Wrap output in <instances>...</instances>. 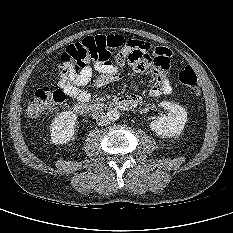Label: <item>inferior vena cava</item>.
<instances>
[{
	"mask_svg": "<svg viewBox=\"0 0 233 233\" xmlns=\"http://www.w3.org/2000/svg\"><path fill=\"white\" fill-rule=\"evenodd\" d=\"M96 122L100 126H106V125H109L111 123V121L108 118V116L105 113H103V112L99 113L97 115Z\"/></svg>",
	"mask_w": 233,
	"mask_h": 233,
	"instance_id": "inferior-vena-cava-1",
	"label": "inferior vena cava"
}]
</instances>
